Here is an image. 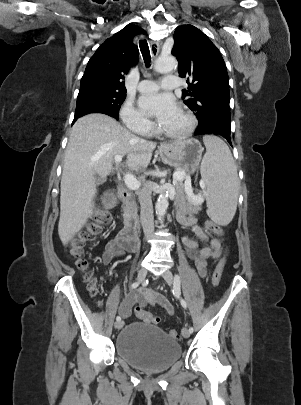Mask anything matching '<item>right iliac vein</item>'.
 <instances>
[{"mask_svg": "<svg viewBox=\"0 0 301 405\" xmlns=\"http://www.w3.org/2000/svg\"><path fill=\"white\" fill-rule=\"evenodd\" d=\"M146 275H147V270H146L145 268H141V269L139 270V272H138L137 280H138L139 282L144 281ZM123 325H124V322L120 320V321H116V322H115L114 327H115L116 329H120V328L123 327Z\"/></svg>", "mask_w": 301, "mask_h": 405, "instance_id": "right-iliac-vein-1", "label": "right iliac vein"}]
</instances>
